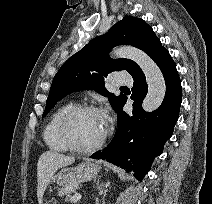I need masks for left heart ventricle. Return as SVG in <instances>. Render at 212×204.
I'll use <instances>...</instances> for the list:
<instances>
[{
	"label": "left heart ventricle",
	"instance_id": "b2bd125f",
	"mask_svg": "<svg viewBox=\"0 0 212 204\" xmlns=\"http://www.w3.org/2000/svg\"><path fill=\"white\" fill-rule=\"evenodd\" d=\"M106 119L97 112H83L73 117L70 122V132L73 140L80 146L94 144L103 135Z\"/></svg>",
	"mask_w": 212,
	"mask_h": 204
}]
</instances>
